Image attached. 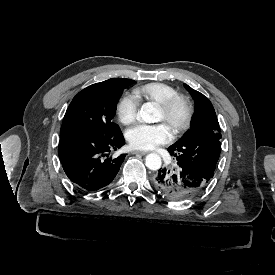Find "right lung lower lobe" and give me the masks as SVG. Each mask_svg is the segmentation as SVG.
Returning a JSON list of instances; mask_svg holds the SVG:
<instances>
[{"instance_id": "98d812e1", "label": "right lung lower lobe", "mask_w": 275, "mask_h": 275, "mask_svg": "<svg viewBox=\"0 0 275 275\" xmlns=\"http://www.w3.org/2000/svg\"><path fill=\"white\" fill-rule=\"evenodd\" d=\"M125 143L121 133L100 138L86 133L61 135L58 155L68 178L81 190L95 191L109 185L126 156L109 157V152Z\"/></svg>"}]
</instances>
